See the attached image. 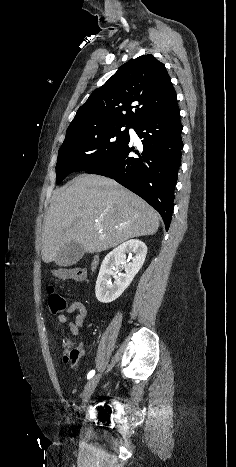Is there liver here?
<instances>
[{
    "instance_id": "obj_1",
    "label": "liver",
    "mask_w": 236,
    "mask_h": 467,
    "mask_svg": "<svg viewBox=\"0 0 236 467\" xmlns=\"http://www.w3.org/2000/svg\"><path fill=\"white\" fill-rule=\"evenodd\" d=\"M158 228V213L142 198L112 179L81 174L54 192L45 219L42 260L55 261L69 242L95 253L153 235Z\"/></svg>"
}]
</instances>
